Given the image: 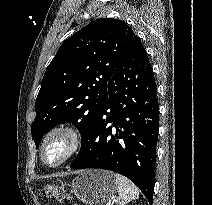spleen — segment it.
<instances>
[{"mask_svg":"<svg viewBox=\"0 0 212 205\" xmlns=\"http://www.w3.org/2000/svg\"><path fill=\"white\" fill-rule=\"evenodd\" d=\"M114 177L118 190V197L115 200L117 205H125L139 197L137 187L128 178L120 174H115Z\"/></svg>","mask_w":212,"mask_h":205,"instance_id":"spleen-1","label":"spleen"}]
</instances>
